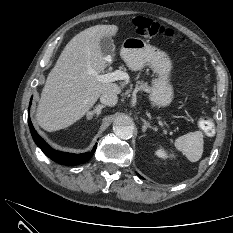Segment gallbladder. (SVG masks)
<instances>
[{"label": "gallbladder", "instance_id": "gallbladder-1", "mask_svg": "<svg viewBox=\"0 0 233 233\" xmlns=\"http://www.w3.org/2000/svg\"><path fill=\"white\" fill-rule=\"evenodd\" d=\"M100 48L102 53L106 56V55H112L114 53L115 50V45L113 42V39L109 36L103 37L100 40Z\"/></svg>", "mask_w": 233, "mask_h": 233}]
</instances>
